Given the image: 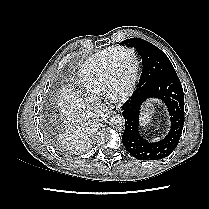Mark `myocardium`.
<instances>
[{
    "label": "myocardium",
    "mask_w": 209,
    "mask_h": 209,
    "mask_svg": "<svg viewBox=\"0 0 209 209\" xmlns=\"http://www.w3.org/2000/svg\"><path fill=\"white\" fill-rule=\"evenodd\" d=\"M120 52H130L132 54L134 68H133L132 79L129 82V84L127 85V87L121 91H116V90H114L113 85H112L114 59H115V56ZM138 74H139V66H138L137 55H136L134 49H132L130 47H125V46L117 47L113 51V53L111 54L108 64L106 66L105 76H104V93H105V95L115 101L126 100L127 98H129L131 96V94L134 91L135 85L138 80Z\"/></svg>",
    "instance_id": "1"
}]
</instances>
